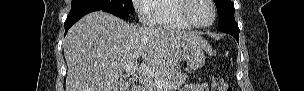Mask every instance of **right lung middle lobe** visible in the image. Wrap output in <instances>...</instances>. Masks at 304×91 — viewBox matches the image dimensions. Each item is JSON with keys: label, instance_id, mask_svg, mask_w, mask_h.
<instances>
[{"label": "right lung middle lobe", "instance_id": "dd1d6c3e", "mask_svg": "<svg viewBox=\"0 0 304 91\" xmlns=\"http://www.w3.org/2000/svg\"><path fill=\"white\" fill-rule=\"evenodd\" d=\"M95 6L120 18H127L134 12L132 0H72L71 7Z\"/></svg>", "mask_w": 304, "mask_h": 91}]
</instances>
